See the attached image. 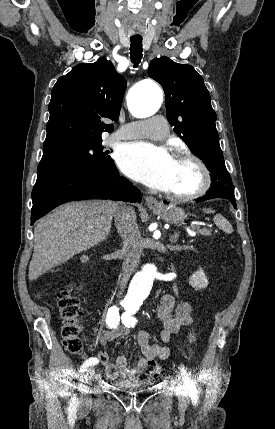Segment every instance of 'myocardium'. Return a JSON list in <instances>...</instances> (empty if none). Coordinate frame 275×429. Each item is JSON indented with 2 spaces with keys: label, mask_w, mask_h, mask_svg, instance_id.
<instances>
[{
  "label": "myocardium",
  "mask_w": 275,
  "mask_h": 429,
  "mask_svg": "<svg viewBox=\"0 0 275 429\" xmlns=\"http://www.w3.org/2000/svg\"><path fill=\"white\" fill-rule=\"evenodd\" d=\"M176 159L193 162L201 173V182L199 187L193 192L187 194H174L165 192V196L171 200L179 202L191 201L204 196L210 189L212 183L211 173L206 163L200 157L189 151L179 152L176 155Z\"/></svg>",
  "instance_id": "myocardium-1"
}]
</instances>
